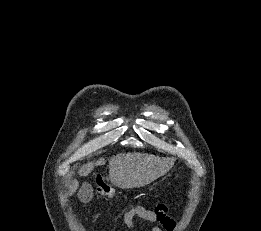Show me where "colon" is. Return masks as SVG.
Returning <instances> with one entry per match:
<instances>
[{"mask_svg":"<svg viewBox=\"0 0 261 231\" xmlns=\"http://www.w3.org/2000/svg\"><path fill=\"white\" fill-rule=\"evenodd\" d=\"M98 193L105 198H110L111 197V187L106 183L100 184Z\"/></svg>","mask_w":261,"mask_h":231,"instance_id":"obj_1","label":"colon"}]
</instances>
